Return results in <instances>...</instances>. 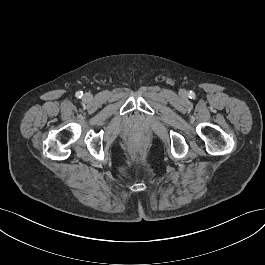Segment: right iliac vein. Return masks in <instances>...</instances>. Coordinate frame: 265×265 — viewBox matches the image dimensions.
Here are the masks:
<instances>
[{"instance_id":"1","label":"right iliac vein","mask_w":265,"mask_h":265,"mask_svg":"<svg viewBox=\"0 0 265 265\" xmlns=\"http://www.w3.org/2000/svg\"><path fill=\"white\" fill-rule=\"evenodd\" d=\"M84 97H85L87 100H90V99H91V95H89V94H86Z\"/></svg>"}]
</instances>
